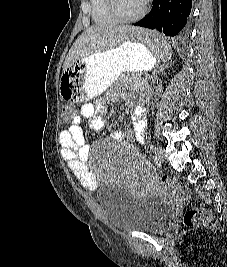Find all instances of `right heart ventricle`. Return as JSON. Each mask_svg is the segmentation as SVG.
<instances>
[{"label":"right heart ventricle","instance_id":"1","mask_svg":"<svg viewBox=\"0 0 227 267\" xmlns=\"http://www.w3.org/2000/svg\"><path fill=\"white\" fill-rule=\"evenodd\" d=\"M93 20L100 25H112L118 21L111 15L107 0H90Z\"/></svg>","mask_w":227,"mask_h":267}]
</instances>
